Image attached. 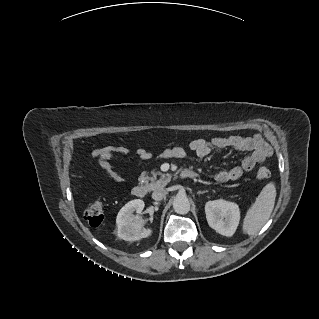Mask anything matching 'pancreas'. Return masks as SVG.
<instances>
[{
  "label": "pancreas",
  "mask_w": 319,
  "mask_h": 319,
  "mask_svg": "<svg viewBox=\"0 0 319 319\" xmlns=\"http://www.w3.org/2000/svg\"><path fill=\"white\" fill-rule=\"evenodd\" d=\"M159 178V179H158ZM171 179L170 174H163L161 172H154L151 176H146L145 186L150 190L162 188L168 184Z\"/></svg>",
  "instance_id": "obj_1"
}]
</instances>
